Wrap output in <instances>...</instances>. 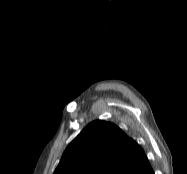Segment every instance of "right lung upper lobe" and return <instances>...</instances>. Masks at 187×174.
<instances>
[{
	"label": "right lung upper lobe",
	"instance_id": "1",
	"mask_svg": "<svg viewBox=\"0 0 187 174\" xmlns=\"http://www.w3.org/2000/svg\"><path fill=\"white\" fill-rule=\"evenodd\" d=\"M54 174H154L142 148L116 125L88 124L66 148Z\"/></svg>",
	"mask_w": 187,
	"mask_h": 174
}]
</instances>
